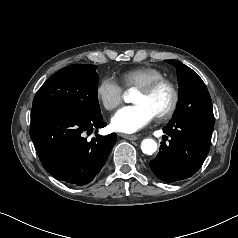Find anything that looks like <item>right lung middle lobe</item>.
<instances>
[{
  "label": "right lung middle lobe",
  "mask_w": 238,
  "mask_h": 238,
  "mask_svg": "<svg viewBox=\"0 0 238 238\" xmlns=\"http://www.w3.org/2000/svg\"><path fill=\"white\" fill-rule=\"evenodd\" d=\"M96 65L73 64L52 75L37 92L32 109L69 110L88 116L101 114Z\"/></svg>",
  "instance_id": "right-lung-middle-lobe-1"
}]
</instances>
